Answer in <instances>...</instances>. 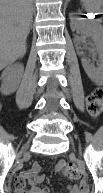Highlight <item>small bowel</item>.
I'll list each match as a JSON object with an SVG mask.
<instances>
[{
    "label": "small bowel",
    "mask_w": 103,
    "mask_h": 193,
    "mask_svg": "<svg viewBox=\"0 0 103 193\" xmlns=\"http://www.w3.org/2000/svg\"><path fill=\"white\" fill-rule=\"evenodd\" d=\"M41 166L38 163H33L29 169L22 172L16 177L13 182L14 193H50L48 187L40 185L45 180V177L40 174ZM26 182L29 183L30 189L26 191ZM67 193H87L85 182L80 184H72L67 186Z\"/></svg>",
    "instance_id": "1"
}]
</instances>
